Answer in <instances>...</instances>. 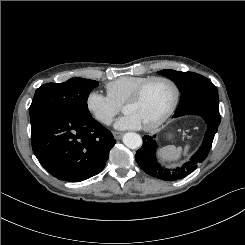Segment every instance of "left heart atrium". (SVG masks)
Masks as SVG:
<instances>
[{"mask_svg":"<svg viewBox=\"0 0 245 245\" xmlns=\"http://www.w3.org/2000/svg\"><path fill=\"white\" fill-rule=\"evenodd\" d=\"M117 129L125 130V129H140L142 128V124L140 120L133 114H125L123 117L118 119L115 124Z\"/></svg>","mask_w":245,"mask_h":245,"instance_id":"39dd6f15","label":"left heart atrium"}]
</instances>
